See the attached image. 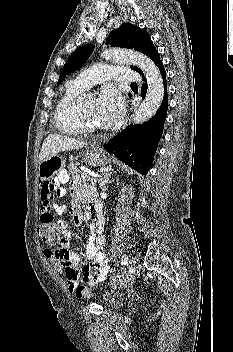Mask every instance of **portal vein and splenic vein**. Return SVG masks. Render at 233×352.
Masks as SVG:
<instances>
[{
    "label": "portal vein and splenic vein",
    "mask_w": 233,
    "mask_h": 352,
    "mask_svg": "<svg viewBox=\"0 0 233 352\" xmlns=\"http://www.w3.org/2000/svg\"><path fill=\"white\" fill-rule=\"evenodd\" d=\"M88 174H89L90 176L94 177V178L100 177V175H99V174H96V173H91V172H89Z\"/></svg>",
    "instance_id": "obj_1"
}]
</instances>
